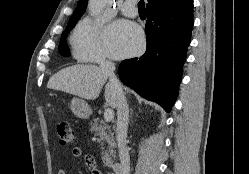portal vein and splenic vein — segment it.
Returning <instances> with one entry per match:
<instances>
[{
	"instance_id": "18ae733b",
	"label": "portal vein and splenic vein",
	"mask_w": 249,
	"mask_h": 174,
	"mask_svg": "<svg viewBox=\"0 0 249 174\" xmlns=\"http://www.w3.org/2000/svg\"><path fill=\"white\" fill-rule=\"evenodd\" d=\"M114 118V111L113 109L111 108H107L105 111H104V120L106 122H110L112 121Z\"/></svg>"
}]
</instances>
